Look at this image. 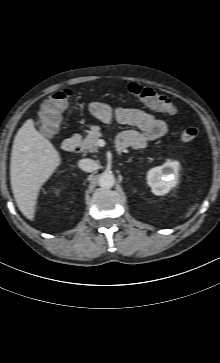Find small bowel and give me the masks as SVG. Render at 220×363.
I'll return each instance as SVG.
<instances>
[{
  "label": "small bowel",
  "instance_id": "1",
  "mask_svg": "<svg viewBox=\"0 0 220 363\" xmlns=\"http://www.w3.org/2000/svg\"><path fill=\"white\" fill-rule=\"evenodd\" d=\"M89 112L103 123L110 124L116 122L138 128V130H124L119 134L117 139L119 148L141 149L145 147L147 142L161 138L168 132V126L165 121L141 109H113L104 103L94 102L90 104Z\"/></svg>",
  "mask_w": 220,
  "mask_h": 363
}]
</instances>
